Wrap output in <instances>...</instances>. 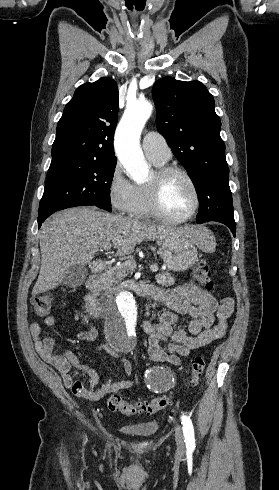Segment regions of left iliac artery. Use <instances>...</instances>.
I'll list each match as a JSON object with an SVG mask.
<instances>
[{"label": "left iliac artery", "instance_id": "obj_1", "mask_svg": "<svg viewBox=\"0 0 279 490\" xmlns=\"http://www.w3.org/2000/svg\"><path fill=\"white\" fill-rule=\"evenodd\" d=\"M181 423L183 425V434L185 437V443L187 449L194 450L195 449V438H194V429L192 425V421L190 417L187 415L181 416Z\"/></svg>", "mask_w": 279, "mask_h": 490}]
</instances>
